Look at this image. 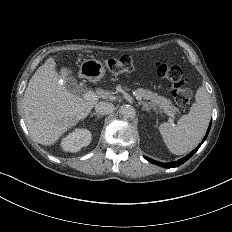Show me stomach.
I'll list each match as a JSON object with an SVG mask.
<instances>
[{"mask_svg":"<svg viewBox=\"0 0 232 232\" xmlns=\"http://www.w3.org/2000/svg\"><path fill=\"white\" fill-rule=\"evenodd\" d=\"M80 73L91 81H98L106 74V68L100 60L91 58L81 64Z\"/></svg>","mask_w":232,"mask_h":232,"instance_id":"stomach-1","label":"stomach"}]
</instances>
